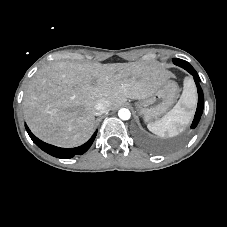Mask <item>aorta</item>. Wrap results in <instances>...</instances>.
Wrapping results in <instances>:
<instances>
[{
    "instance_id": "aorta-1",
    "label": "aorta",
    "mask_w": 227,
    "mask_h": 227,
    "mask_svg": "<svg viewBox=\"0 0 227 227\" xmlns=\"http://www.w3.org/2000/svg\"><path fill=\"white\" fill-rule=\"evenodd\" d=\"M118 116L120 119L122 120H128L130 119L131 117V113L128 109L126 108H121L119 111H118Z\"/></svg>"
}]
</instances>
